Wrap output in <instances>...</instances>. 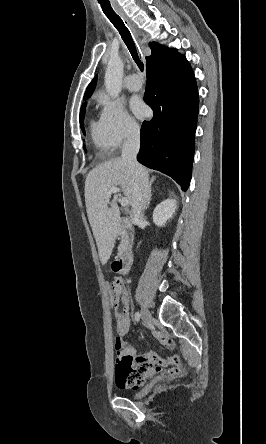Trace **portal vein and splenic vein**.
Listing matches in <instances>:
<instances>
[{"label":"portal vein and splenic vein","mask_w":266,"mask_h":444,"mask_svg":"<svg viewBox=\"0 0 266 444\" xmlns=\"http://www.w3.org/2000/svg\"><path fill=\"white\" fill-rule=\"evenodd\" d=\"M120 191H121V190H120V188H118V187H113V188H111V189L108 191V193H107V196H106V202H109V198L111 197L112 194H114V193H119ZM120 203H121V205H122L123 207H126V206L129 204V199L126 198V197H123V198L120 199Z\"/></svg>","instance_id":"1"}]
</instances>
